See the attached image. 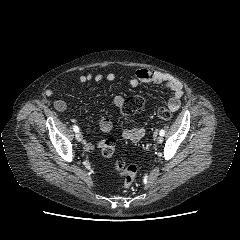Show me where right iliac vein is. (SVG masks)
I'll list each match as a JSON object with an SVG mask.
<instances>
[{"mask_svg":"<svg viewBox=\"0 0 240 240\" xmlns=\"http://www.w3.org/2000/svg\"><path fill=\"white\" fill-rule=\"evenodd\" d=\"M75 138H76V140H77L78 142H81L82 139H83L82 134H81L80 132H77V133L75 134Z\"/></svg>","mask_w":240,"mask_h":240,"instance_id":"obj_1","label":"right iliac vein"}]
</instances>
